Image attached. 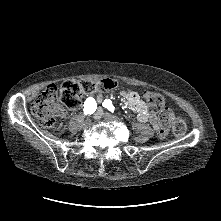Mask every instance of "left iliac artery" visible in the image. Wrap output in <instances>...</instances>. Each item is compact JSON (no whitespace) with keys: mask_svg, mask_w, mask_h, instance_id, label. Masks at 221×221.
<instances>
[{"mask_svg":"<svg viewBox=\"0 0 221 221\" xmlns=\"http://www.w3.org/2000/svg\"><path fill=\"white\" fill-rule=\"evenodd\" d=\"M102 105L107 108L110 112H114L115 107L112 105V101L106 99L104 100V102L102 103Z\"/></svg>","mask_w":221,"mask_h":221,"instance_id":"obj_1","label":"left iliac artery"}]
</instances>
